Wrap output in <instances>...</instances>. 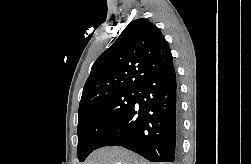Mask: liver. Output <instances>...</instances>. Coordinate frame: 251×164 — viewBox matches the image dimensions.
<instances>
[{
	"mask_svg": "<svg viewBox=\"0 0 251 164\" xmlns=\"http://www.w3.org/2000/svg\"><path fill=\"white\" fill-rule=\"evenodd\" d=\"M84 164H150L148 161L122 147H103L92 152Z\"/></svg>",
	"mask_w": 251,
	"mask_h": 164,
	"instance_id": "liver-1",
	"label": "liver"
}]
</instances>
